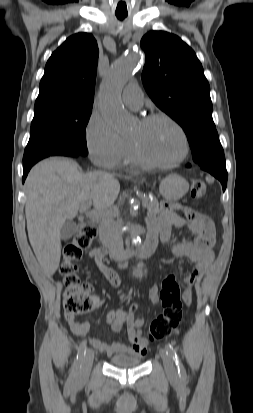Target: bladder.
I'll return each mask as SVG.
<instances>
[{"instance_id": "1", "label": "bladder", "mask_w": 253, "mask_h": 413, "mask_svg": "<svg viewBox=\"0 0 253 413\" xmlns=\"http://www.w3.org/2000/svg\"><path fill=\"white\" fill-rule=\"evenodd\" d=\"M142 359L138 356L117 355L110 359L111 365L118 368H133L140 365Z\"/></svg>"}]
</instances>
